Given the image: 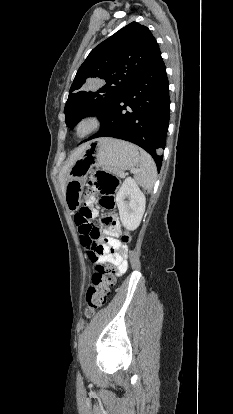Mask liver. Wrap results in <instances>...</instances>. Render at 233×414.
Here are the masks:
<instances>
[{"mask_svg":"<svg viewBox=\"0 0 233 414\" xmlns=\"http://www.w3.org/2000/svg\"><path fill=\"white\" fill-rule=\"evenodd\" d=\"M87 147H88V144L82 145L74 153H72L69 159L67 160L66 164L64 165L62 171L59 174V182L61 185L62 192L64 194H65V186L67 183V174L70 168L74 165V163L83 156Z\"/></svg>","mask_w":233,"mask_h":414,"instance_id":"liver-1","label":"liver"}]
</instances>
